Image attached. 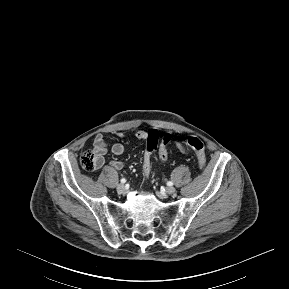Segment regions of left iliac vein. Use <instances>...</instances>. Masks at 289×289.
I'll list each match as a JSON object with an SVG mask.
<instances>
[{"label": "left iliac vein", "instance_id": "1", "mask_svg": "<svg viewBox=\"0 0 289 289\" xmlns=\"http://www.w3.org/2000/svg\"><path fill=\"white\" fill-rule=\"evenodd\" d=\"M176 192V189L172 186H169L166 188V193L167 194H174Z\"/></svg>", "mask_w": 289, "mask_h": 289}]
</instances>
